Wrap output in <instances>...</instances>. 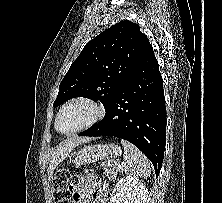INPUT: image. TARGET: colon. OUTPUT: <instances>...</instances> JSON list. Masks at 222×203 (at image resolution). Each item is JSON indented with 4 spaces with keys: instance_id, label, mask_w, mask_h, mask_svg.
I'll use <instances>...</instances> for the list:
<instances>
[{
    "instance_id": "colon-1",
    "label": "colon",
    "mask_w": 222,
    "mask_h": 203,
    "mask_svg": "<svg viewBox=\"0 0 222 203\" xmlns=\"http://www.w3.org/2000/svg\"><path fill=\"white\" fill-rule=\"evenodd\" d=\"M73 183L70 175L64 170H59L53 179V195L55 203H73Z\"/></svg>"
}]
</instances>
